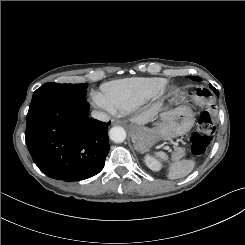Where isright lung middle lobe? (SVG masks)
<instances>
[{
    "label": "right lung middle lobe",
    "instance_id": "right-lung-middle-lobe-1",
    "mask_svg": "<svg viewBox=\"0 0 245 245\" xmlns=\"http://www.w3.org/2000/svg\"><path fill=\"white\" fill-rule=\"evenodd\" d=\"M87 83L84 84H59V83H45L38 88L34 93L32 99L37 98L46 93H72V94H84L86 95Z\"/></svg>",
    "mask_w": 245,
    "mask_h": 245
}]
</instances>
